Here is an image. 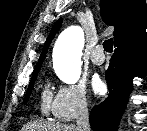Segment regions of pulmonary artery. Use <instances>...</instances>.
Segmentation results:
<instances>
[{"instance_id":"e3ab8cb5","label":"pulmonary artery","mask_w":147,"mask_h":131,"mask_svg":"<svg viewBox=\"0 0 147 131\" xmlns=\"http://www.w3.org/2000/svg\"><path fill=\"white\" fill-rule=\"evenodd\" d=\"M90 59L96 65H101L104 63L105 56L101 45H97L93 48L90 54Z\"/></svg>"}]
</instances>
